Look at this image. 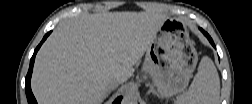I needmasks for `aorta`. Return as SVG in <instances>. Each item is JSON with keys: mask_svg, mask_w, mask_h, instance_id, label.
<instances>
[{"mask_svg": "<svg viewBox=\"0 0 252 104\" xmlns=\"http://www.w3.org/2000/svg\"><path fill=\"white\" fill-rule=\"evenodd\" d=\"M136 101L135 97L132 96V95H126L124 98H123V103L124 104H134Z\"/></svg>", "mask_w": 252, "mask_h": 104, "instance_id": "aorta-1", "label": "aorta"}]
</instances>
